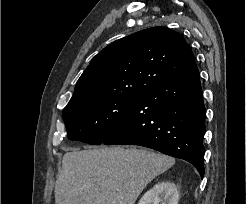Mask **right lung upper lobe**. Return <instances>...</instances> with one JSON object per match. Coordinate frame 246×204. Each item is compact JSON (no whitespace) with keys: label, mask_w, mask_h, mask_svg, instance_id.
I'll list each match as a JSON object with an SVG mask.
<instances>
[{"label":"right lung upper lobe","mask_w":246,"mask_h":204,"mask_svg":"<svg viewBox=\"0 0 246 204\" xmlns=\"http://www.w3.org/2000/svg\"><path fill=\"white\" fill-rule=\"evenodd\" d=\"M194 63L190 46L178 32L166 27L136 32L91 60L67 106L105 95L142 94Z\"/></svg>","instance_id":"cb5924a9"}]
</instances>
